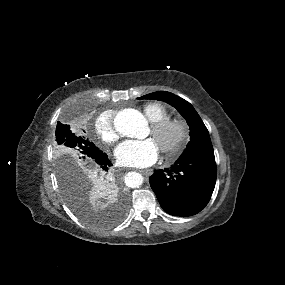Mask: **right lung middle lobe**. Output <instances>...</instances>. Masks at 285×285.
<instances>
[{"label": "right lung middle lobe", "instance_id": "dd1d6c3e", "mask_svg": "<svg viewBox=\"0 0 285 285\" xmlns=\"http://www.w3.org/2000/svg\"><path fill=\"white\" fill-rule=\"evenodd\" d=\"M56 141L59 156L57 175L64 198L72 211L84 221L97 226L109 227L121 219L116 214L110 220L98 218L88 204L89 194L94 183L103 179L102 171L95 159L101 152L84 136L70 129L69 125L58 122Z\"/></svg>", "mask_w": 285, "mask_h": 285}]
</instances>
